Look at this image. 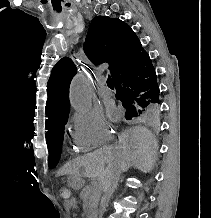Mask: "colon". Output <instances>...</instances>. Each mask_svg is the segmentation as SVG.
I'll list each match as a JSON object with an SVG mask.
<instances>
[{
	"label": "colon",
	"instance_id": "colon-1",
	"mask_svg": "<svg viewBox=\"0 0 211 218\" xmlns=\"http://www.w3.org/2000/svg\"><path fill=\"white\" fill-rule=\"evenodd\" d=\"M59 194L62 199L70 200L71 199V190L68 187L62 186L59 189Z\"/></svg>",
	"mask_w": 211,
	"mask_h": 218
}]
</instances>
